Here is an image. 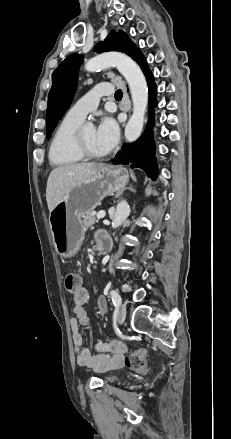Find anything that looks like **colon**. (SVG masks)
<instances>
[{
  "label": "colon",
  "mask_w": 231,
  "mask_h": 439,
  "mask_svg": "<svg viewBox=\"0 0 231 439\" xmlns=\"http://www.w3.org/2000/svg\"><path fill=\"white\" fill-rule=\"evenodd\" d=\"M81 283H85L84 279L81 277L80 270H69L68 276L65 279V288L67 291L75 295L77 286ZM147 354L146 349H138L125 358V366L135 372H145L147 365Z\"/></svg>",
  "instance_id": "obj_1"
}]
</instances>
